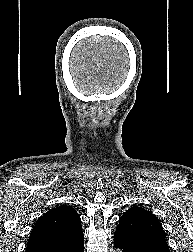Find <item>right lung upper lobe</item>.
<instances>
[{
	"label": "right lung upper lobe",
	"mask_w": 193,
	"mask_h": 252,
	"mask_svg": "<svg viewBox=\"0 0 193 252\" xmlns=\"http://www.w3.org/2000/svg\"><path fill=\"white\" fill-rule=\"evenodd\" d=\"M83 234L76 210L60 205L46 212L35 223L26 252H40L62 246Z\"/></svg>",
	"instance_id": "cb5924a9"
}]
</instances>
